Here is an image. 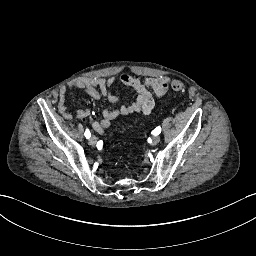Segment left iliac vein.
<instances>
[{"label":"left iliac vein","mask_w":256,"mask_h":256,"mask_svg":"<svg viewBox=\"0 0 256 256\" xmlns=\"http://www.w3.org/2000/svg\"><path fill=\"white\" fill-rule=\"evenodd\" d=\"M159 141H160V137L156 135V136H154V137L152 138L151 145H152V146H156V145L159 143Z\"/></svg>","instance_id":"1"}]
</instances>
